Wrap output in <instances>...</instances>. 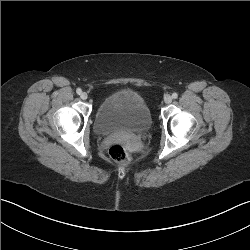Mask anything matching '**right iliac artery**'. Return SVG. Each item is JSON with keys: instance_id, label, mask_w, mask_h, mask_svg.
<instances>
[{"instance_id": "obj_1", "label": "right iliac artery", "mask_w": 250, "mask_h": 250, "mask_svg": "<svg viewBox=\"0 0 250 250\" xmlns=\"http://www.w3.org/2000/svg\"><path fill=\"white\" fill-rule=\"evenodd\" d=\"M76 93L80 95V94L82 93V90H81L80 88H78V89L76 90Z\"/></svg>"}]
</instances>
